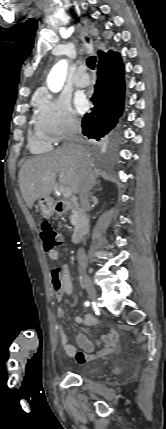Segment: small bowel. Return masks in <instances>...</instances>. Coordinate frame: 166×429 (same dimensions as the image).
Segmentation results:
<instances>
[{
  "label": "small bowel",
  "mask_w": 166,
  "mask_h": 429,
  "mask_svg": "<svg viewBox=\"0 0 166 429\" xmlns=\"http://www.w3.org/2000/svg\"><path fill=\"white\" fill-rule=\"evenodd\" d=\"M48 257L56 261L61 257V252L58 249L53 250L48 253ZM50 274L55 297L60 303L72 292V278L69 267L67 265H62L60 268L52 267ZM56 315L59 318L65 315V310L61 305L57 306ZM74 320L76 323L84 324L90 328L97 323V319L92 315L75 317ZM76 342L81 349L80 351H77L76 348L68 342L65 333L60 330V343L65 353L75 358L79 364H84L112 353L117 347V334L114 330H111L102 334L97 340L92 342L84 334L78 333L76 335Z\"/></svg>",
  "instance_id": "obj_1"
}]
</instances>
